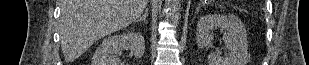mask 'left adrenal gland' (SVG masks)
I'll use <instances>...</instances> for the list:
<instances>
[{"label": "left adrenal gland", "instance_id": "obj_1", "mask_svg": "<svg viewBox=\"0 0 309 65\" xmlns=\"http://www.w3.org/2000/svg\"><path fill=\"white\" fill-rule=\"evenodd\" d=\"M199 9H200V7H197L196 13H198Z\"/></svg>", "mask_w": 309, "mask_h": 65}]
</instances>
